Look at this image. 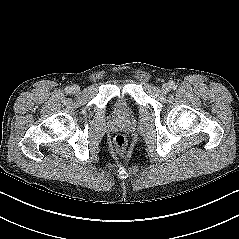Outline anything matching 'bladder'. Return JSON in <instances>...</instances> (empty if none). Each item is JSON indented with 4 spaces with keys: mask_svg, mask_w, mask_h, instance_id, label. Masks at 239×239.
Returning <instances> with one entry per match:
<instances>
[{
    "mask_svg": "<svg viewBox=\"0 0 239 239\" xmlns=\"http://www.w3.org/2000/svg\"><path fill=\"white\" fill-rule=\"evenodd\" d=\"M116 110L117 113L122 116H127L130 112V109L126 103H119Z\"/></svg>",
    "mask_w": 239,
    "mask_h": 239,
    "instance_id": "bladder-1",
    "label": "bladder"
}]
</instances>
